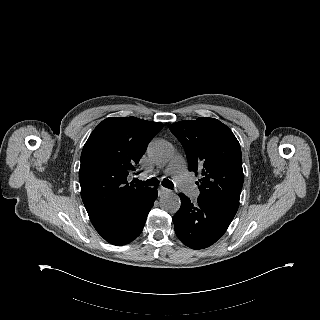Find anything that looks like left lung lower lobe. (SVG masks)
<instances>
[{
	"mask_svg": "<svg viewBox=\"0 0 320 320\" xmlns=\"http://www.w3.org/2000/svg\"><path fill=\"white\" fill-rule=\"evenodd\" d=\"M181 207L173 216L175 232L182 243L192 249L214 244L225 233L235 214L198 197L192 203L180 193Z\"/></svg>",
	"mask_w": 320,
	"mask_h": 320,
	"instance_id": "1",
	"label": "left lung lower lobe"
}]
</instances>
